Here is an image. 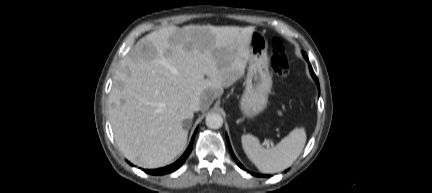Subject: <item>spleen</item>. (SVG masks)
Returning a JSON list of instances; mask_svg holds the SVG:
<instances>
[{"label": "spleen", "instance_id": "3e777b00", "mask_svg": "<svg viewBox=\"0 0 432 193\" xmlns=\"http://www.w3.org/2000/svg\"><path fill=\"white\" fill-rule=\"evenodd\" d=\"M241 142L245 154L258 170L272 174L290 167L299 157L306 143V133L303 128H295L272 148H263L250 134L243 135Z\"/></svg>", "mask_w": 432, "mask_h": 193}]
</instances>
